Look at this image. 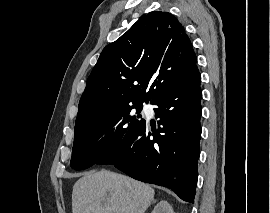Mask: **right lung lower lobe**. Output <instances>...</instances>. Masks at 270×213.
<instances>
[{"label": "right lung lower lobe", "instance_id": "98d812e1", "mask_svg": "<svg viewBox=\"0 0 270 213\" xmlns=\"http://www.w3.org/2000/svg\"><path fill=\"white\" fill-rule=\"evenodd\" d=\"M200 81L195 67L159 95L151 102L158 106V129L152 128L151 132L145 122L98 164H112L134 179L168 187L181 199L193 203L201 137Z\"/></svg>", "mask_w": 270, "mask_h": 213}]
</instances>
